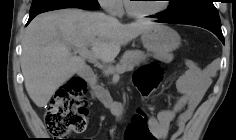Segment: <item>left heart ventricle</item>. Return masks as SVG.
<instances>
[{
  "label": "left heart ventricle",
  "mask_w": 236,
  "mask_h": 140,
  "mask_svg": "<svg viewBox=\"0 0 236 140\" xmlns=\"http://www.w3.org/2000/svg\"><path fill=\"white\" fill-rule=\"evenodd\" d=\"M131 6L136 11L149 12L161 7L162 2L158 0H137L131 2Z\"/></svg>",
  "instance_id": "left-heart-ventricle-1"
}]
</instances>
